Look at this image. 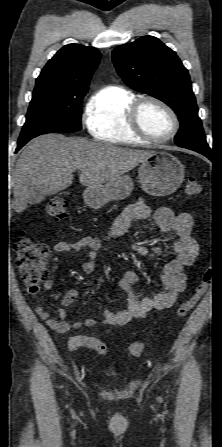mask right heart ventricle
Here are the masks:
<instances>
[{"label": "right heart ventricle", "mask_w": 222, "mask_h": 447, "mask_svg": "<svg viewBox=\"0 0 222 447\" xmlns=\"http://www.w3.org/2000/svg\"><path fill=\"white\" fill-rule=\"evenodd\" d=\"M135 99L133 92L121 87L101 90L86 113V126L92 137L120 145L148 142L134 132L128 121V111Z\"/></svg>", "instance_id": "e07e8e85"}]
</instances>
